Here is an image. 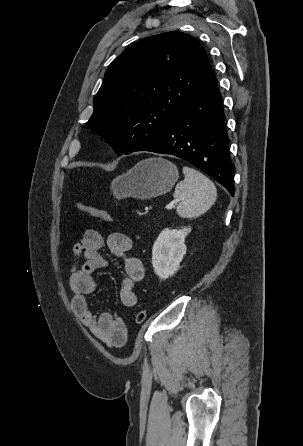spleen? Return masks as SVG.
Segmentation results:
<instances>
[{"instance_id":"obj_1","label":"spleen","mask_w":303,"mask_h":446,"mask_svg":"<svg viewBox=\"0 0 303 446\" xmlns=\"http://www.w3.org/2000/svg\"><path fill=\"white\" fill-rule=\"evenodd\" d=\"M184 180L175 188L174 198L180 199L177 213L182 218L200 216L211 208L217 198L214 183L196 169L184 166Z\"/></svg>"}]
</instances>
